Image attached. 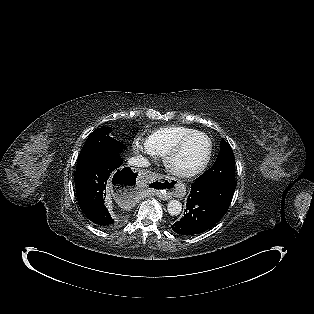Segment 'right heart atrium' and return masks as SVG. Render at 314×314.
I'll return each mask as SVG.
<instances>
[{
  "instance_id": "d8ad5b80",
  "label": "right heart atrium",
  "mask_w": 314,
  "mask_h": 314,
  "mask_svg": "<svg viewBox=\"0 0 314 314\" xmlns=\"http://www.w3.org/2000/svg\"><path fill=\"white\" fill-rule=\"evenodd\" d=\"M133 149L142 155H146L148 157L157 158L156 156L149 148L148 143L146 140L140 136L136 137L133 140Z\"/></svg>"
}]
</instances>
